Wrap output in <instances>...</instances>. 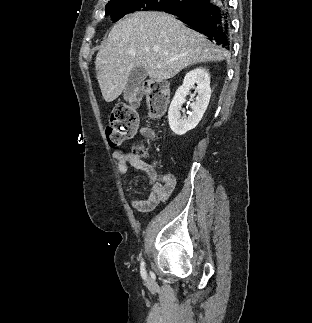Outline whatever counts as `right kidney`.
Returning a JSON list of instances; mask_svg holds the SVG:
<instances>
[{"mask_svg": "<svg viewBox=\"0 0 312 323\" xmlns=\"http://www.w3.org/2000/svg\"><path fill=\"white\" fill-rule=\"evenodd\" d=\"M197 84V86H195ZM195 88L196 96L195 102L190 104L192 112L186 116L185 110H182L185 98L189 94V90ZM211 96L210 78L209 72L206 68H194L191 72H188L184 78V82L180 88H178L168 110V122L169 126L177 136H184L189 130L196 128L199 124L204 112L207 110ZM183 112V116H181Z\"/></svg>", "mask_w": 312, "mask_h": 323, "instance_id": "obj_1", "label": "right kidney"}]
</instances>
